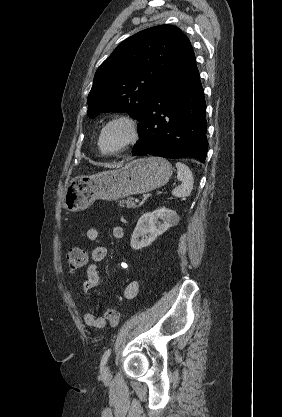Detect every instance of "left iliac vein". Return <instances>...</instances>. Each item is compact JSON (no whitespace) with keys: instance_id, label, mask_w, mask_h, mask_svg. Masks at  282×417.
I'll list each match as a JSON object with an SVG mask.
<instances>
[{"instance_id":"4c4485c4","label":"left iliac vein","mask_w":282,"mask_h":417,"mask_svg":"<svg viewBox=\"0 0 282 417\" xmlns=\"http://www.w3.org/2000/svg\"><path fill=\"white\" fill-rule=\"evenodd\" d=\"M109 372H110L109 367H108V366H106V367L104 368V374H105V375H108V374H109Z\"/></svg>"}]
</instances>
